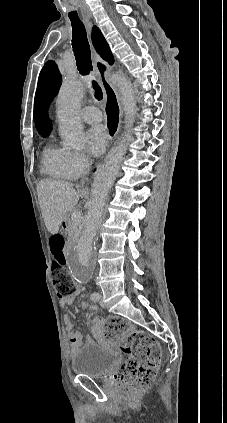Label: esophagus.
Listing matches in <instances>:
<instances>
[{
    "label": "esophagus",
    "instance_id": "obj_1",
    "mask_svg": "<svg viewBox=\"0 0 227 423\" xmlns=\"http://www.w3.org/2000/svg\"><path fill=\"white\" fill-rule=\"evenodd\" d=\"M86 25L88 27L89 33H91L92 23L87 20ZM94 65L96 72L100 79L101 85L105 93V113L107 117L106 124L108 125L110 139L111 136L116 135V130L118 129L120 118H121V106L119 101V96L113 87L110 81L111 67L105 62L96 52H94ZM118 123V126L116 125ZM89 181L88 177H83L80 180L81 184H85Z\"/></svg>",
    "mask_w": 227,
    "mask_h": 423
}]
</instances>
